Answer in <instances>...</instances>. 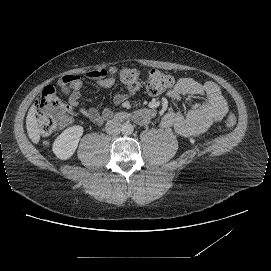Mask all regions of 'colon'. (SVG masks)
I'll return each instance as SVG.
<instances>
[{"label":"colon","mask_w":271,"mask_h":271,"mask_svg":"<svg viewBox=\"0 0 271 271\" xmlns=\"http://www.w3.org/2000/svg\"><path fill=\"white\" fill-rule=\"evenodd\" d=\"M120 80L128 87L136 90L140 84V73L137 67L123 68L119 73ZM173 78L158 69H151L147 75L146 88L149 94L158 95L173 86ZM36 122L42 135L52 134L70 122L69 108L59 100L53 86H46L36 101ZM225 124L232 128L236 118L229 113Z\"/></svg>","instance_id":"colon-1"}]
</instances>
